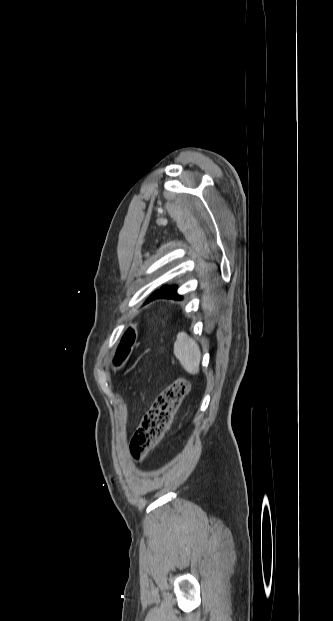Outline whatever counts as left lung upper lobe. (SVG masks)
<instances>
[{"label":"left lung upper lobe","mask_w":333,"mask_h":621,"mask_svg":"<svg viewBox=\"0 0 333 621\" xmlns=\"http://www.w3.org/2000/svg\"><path fill=\"white\" fill-rule=\"evenodd\" d=\"M161 288H162V287H161ZM155 293H156V292H154V293H153V294H152V295H151V296L147 299L146 303H148V302L150 301L151 297H152Z\"/></svg>","instance_id":"5c2ea615"}]
</instances>
